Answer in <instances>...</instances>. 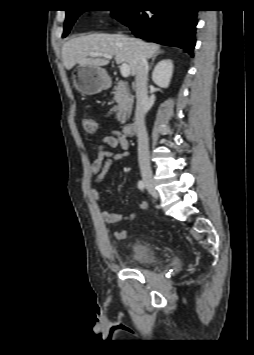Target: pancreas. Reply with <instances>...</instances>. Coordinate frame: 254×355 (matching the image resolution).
<instances>
[{
	"mask_svg": "<svg viewBox=\"0 0 254 355\" xmlns=\"http://www.w3.org/2000/svg\"><path fill=\"white\" fill-rule=\"evenodd\" d=\"M114 100L117 103L114 107L116 119L121 124H124L132 111L133 96L122 81H119L117 86L114 87Z\"/></svg>",
	"mask_w": 254,
	"mask_h": 355,
	"instance_id": "cf45deb5",
	"label": "pancreas"
}]
</instances>
